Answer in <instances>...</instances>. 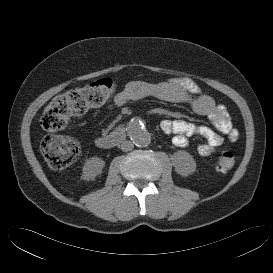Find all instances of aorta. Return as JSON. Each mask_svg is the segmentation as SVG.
<instances>
[{
	"label": "aorta",
	"mask_w": 273,
	"mask_h": 273,
	"mask_svg": "<svg viewBox=\"0 0 273 273\" xmlns=\"http://www.w3.org/2000/svg\"><path fill=\"white\" fill-rule=\"evenodd\" d=\"M133 143L138 147H146L151 143L150 133L139 120H133L128 129Z\"/></svg>",
	"instance_id": "762f6f07"
}]
</instances>
